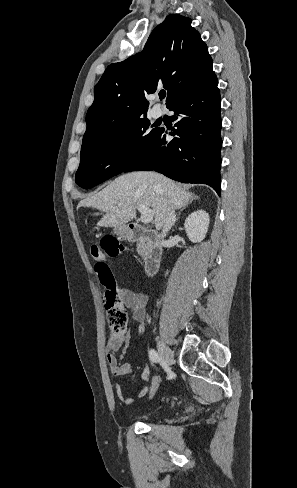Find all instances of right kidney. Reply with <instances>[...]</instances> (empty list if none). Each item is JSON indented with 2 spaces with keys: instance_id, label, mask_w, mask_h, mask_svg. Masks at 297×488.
Returning a JSON list of instances; mask_svg holds the SVG:
<instances>
[{
  "instance_id": "obj_1",
  "label": "right kidney",
  "mask_w": 297,
  "mask_h": 488,
  "mask_svg": "<svg viewBox=\"0 0 297 488\" xmlns=\"http://www.w3.org/2000/svg\"><path fill=\"white\" fill-rule=\"evenodd\" d=\"M209 226V215L204 210L192 212L185 220L184 227L191 242L200 243L204 240Z\"/></svg>"
}]
</instances>
